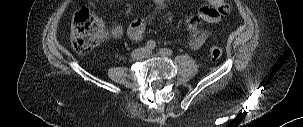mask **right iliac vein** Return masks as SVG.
Segmentation results:
<instances>
[{
    "label": "right iliac vein",
    "mask_w": 303,
    "mask_h": 127,
    "mask_svg": "<svg viewBox=\"0 0 303 127\" xmlns=\"http://www.w3.org/2000/svg\"><path fill=\"white\" fill-rule=\"evenodd\" d=\"M145 51H141L139 54L141 55V54H143Z\"/></svg>",
    "instance_id": "right-iliac-vein-1"
}]
</instances>
